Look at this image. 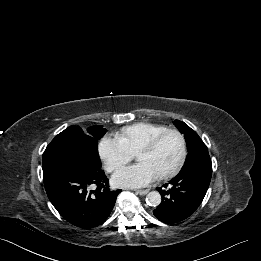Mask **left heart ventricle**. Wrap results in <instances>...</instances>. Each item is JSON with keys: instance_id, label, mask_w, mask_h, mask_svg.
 <instances>
[{"instance_id": "1", "label": "left heart ventricle", "mask_w": 261, "mask_h": 261, "mask_svg": "<svg viewBox=\"0 0 261 261\" xmlns=\"http://www.w3.org/2000/svg\"><path fill=\"white\" fill-rule=\"evenodd\" d=\"M181 152L178 136H164L156 147L148 153L135 156L137 162L145 164L156 176L170 171L177 163Z\"/></svg>"}]
</instances>
